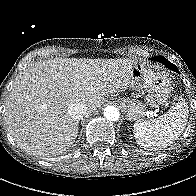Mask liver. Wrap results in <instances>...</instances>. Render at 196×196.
Listing matches in <instances>:
<instances>
[{
  "instance_id": "liver-1",
  "label": "liver",
  "mask_w": 196,
  "mask_h": 196,
  "mask_svg": "<svg viewBox=\"0 0 196 196\" xmlns=\"http://www.w3.org/2000/svg\"><path fill=\"white\" fill-rule=\"evenodd\" d=\"M131 66L130 60L120 58H54L30 64L7 98L4 120L8 132L29 154L66 151L79 129L68 107L81 103L92 112L104 103V96L127 90Z\"/></svg>"
}]
</instances>
